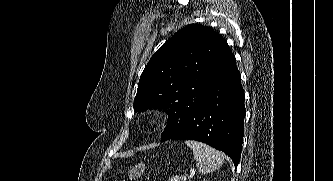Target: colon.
I'll use <instances>...</instances> for the list:
<instances>
[{
  "label": "colon",
  "instance_id": "colon-1",
  "mask_svg": "<svg viewBox=\"0 0 333 181\" xmlns=\"http://www.w3.org/2000/svg\"><path fill=\"white\" fill-rule=\"evenodd\" d=\"M147 165L140 163L128 170V176L122 181H136L146 170Z\"/></svg>",
  "mask_w": 333,
  "mask_h": 181
}]
</instances>
